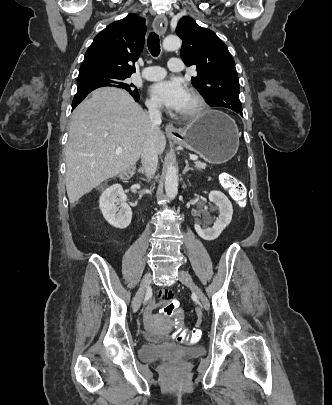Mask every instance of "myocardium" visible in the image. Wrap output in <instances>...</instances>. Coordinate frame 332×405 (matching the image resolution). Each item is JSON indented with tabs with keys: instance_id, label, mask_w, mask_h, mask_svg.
Wrapping results in <instances>:
<instances>
[{
	"instance_id": "1",
	"label": "myocardium",
	"mask_w": 332,
	"mask_h": 405,
	"mask_svg": "<svg viewBox=\"0 0 332 405\" xmlns=\"http://www.w3.org/2000/svg\"><path fill=\"white\" fill-rule=\"evenodd\" d=\"M189 95L194 103L193 109L188 113L181 114V117L191 120L199 117L202 114L205 108V101L202 95L194 89L189 90Z\"/></svg>"
}]
</instances>
